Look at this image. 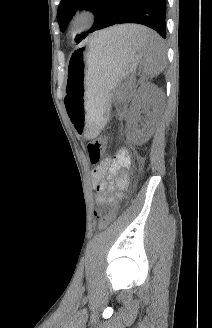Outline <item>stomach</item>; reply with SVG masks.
Wrapping results in <instances>:
<instances>
[{
	"label": "stomach",
	"instance_id": "0dacf381",
	"mask_svg": "<svg viewBox=\"0 0 212 328\" xmlns=\"http://www.w3.org/2000/svg\"><path fill=\"white\" fill-rule=\"evenodd\" d=\"M142 51L132 40H91L70 56L65 84L67 116L78 135L95 138L109 114L110 93L137 68Z\"/></svg>",
	"mask_w": 212,
	"mask_h": 328
}]
</instances>
